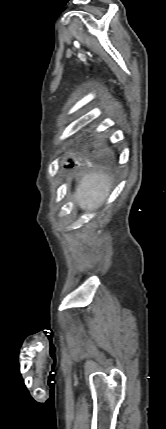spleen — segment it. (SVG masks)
Listing matches in <instances>:
<instances>
[{
	"instance_id": "1",
	"label": "spleen",
	"mask_w": 166,
	"mask_h": 429,
	"mask_svg": "<svg viewBox=\"0 0 166 429\" xmlns=\"http://www.w3.org/2000/svg\"><path fill=\"white\" fill-rule=\"evenodd\" d=\"M112 178L105 173H89L80 180L74 199L83 210L100 207L110 193Z\"/></svg>"
}]
</instances>
